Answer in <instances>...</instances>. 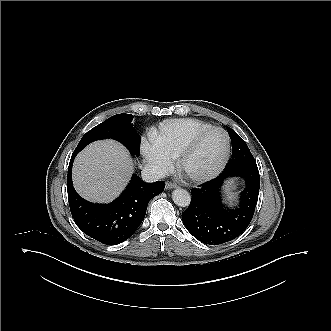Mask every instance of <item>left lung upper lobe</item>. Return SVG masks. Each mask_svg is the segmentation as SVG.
<instances>
[{
	"label": "left lung upper lobe",
	"mask_w": 331,
	"mask_h": 331,
	"mask_svg": "<svg viewBox=\"0 0 331 331\" xmlns=\"http://www.w3.org/2000/svg\"><path fill=\"white\" fill-rule=\"evenodd\" d=\"M227 130L232 143V158L229 160L226 168L247 167L257 169L256 161L246 143L230 127L227 126Z\"/></svg>",
	"instance_id": "5c2ea615"
}]
</instances>
